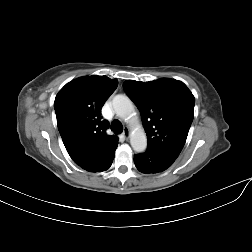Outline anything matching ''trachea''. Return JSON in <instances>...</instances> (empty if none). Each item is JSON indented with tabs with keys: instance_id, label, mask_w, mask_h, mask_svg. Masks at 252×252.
I'll return each mask as SVG.
<instances>
[{
	"instance_id": "obj_1",
	"label": "trachea",
	"mask_w": 252,
	"mask_h": 252,
	"mask_svg": "<svg viewBox=\"0 0 252 252\" xmlns=\"http://www.w3.org/2000/svg\"><path fill=\"white\" fill-rule=\"evenodd\" d=\"M111 129L115 134H120L123 131L121 122L119 120H114L111 123Z\"/></svg>"
}]
</instances>
